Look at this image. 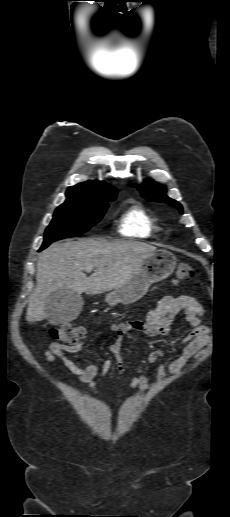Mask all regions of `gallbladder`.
<instances>
[{
  "mask_svg": "<svg viewBox=\"0 0 230 517\" xmlns=\"http://www.w3.org/2000/svg\"><path fill=\"white\" fill-rule=\"evenodd\" d=\"M82 307V297L70 289L55 291L45 302L47 319L56 325L74 320L82 311Z\"/></svg>",
  "mask_w": 230,
  "mask_h": 517,
  "instance_id": "obj_1",
  "label": "gallbladder"
}]
</instances>
